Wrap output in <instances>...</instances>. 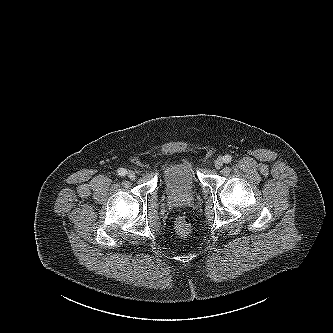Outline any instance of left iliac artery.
<instances>
[{"label":"left iliac artery","instance_id":"1","mask_svg":"<svg viewBox=\"0 0 333 333\" xmlns=\"http://www.w3.org/2000/svg\"><path fill=\"white\" fill-rule=\"evenodd\" d=\"M223 159H224V162L225 163H229V162H231L232 161V157H231V155H225L224 157H223Z\"/></svg>","mask_w":333,"mask_h":333}]
</instances>
